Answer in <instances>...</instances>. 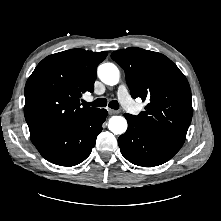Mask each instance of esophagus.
Listing matches in <instances>:
<instances>
[{
  "label": "esophagus",
  "mask_w": 221,
  "mask_h": 221,
  "mask_svg": "<svg viewBox=\"0 0 221 221\" xmlns=\"http://www.w3.org/2000/svg\"><path fill=\"white\" fill-rule=\"evenodd\" d=\"M108 112H109V114H111V115H115V114H118V113H119L118 110H113V109H110V108H108Z\"/></svg>",
  "instance_id": "obj_1"
}]
</instances>
